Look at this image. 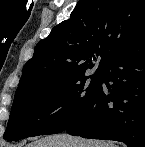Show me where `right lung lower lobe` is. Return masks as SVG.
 <instances>
[{"label":"right lung lower lobe","instance_id":"obj_1","mask_svg":"<svg viewBox=\"0 0 145 147\" xmlns=\"http://www.w3.org/2000/svg\"><path fill=\"white\" fill-rule=\"evenodd\" d=\"M100 74L96 95L64 131L144 147L145 32L122 48Z\"/></svg>","mask_w":145,"mask_h":147}]
</instances>
